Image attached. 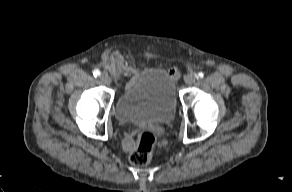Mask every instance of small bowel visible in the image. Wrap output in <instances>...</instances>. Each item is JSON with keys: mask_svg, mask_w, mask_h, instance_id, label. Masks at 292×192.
Masks as SVG:
<instances>
[{"mask_svg": "<svg viewBox=\"0 0 292 192\" xmlns=\"http://www.w3.org/2000/svg\"><path fill=\"white\" fill-rule=\"evenodd\" d=\"M177 75H178L177 69L170 70V76L176 77ZM161 143H162V145L167 146V145H169L170 140H169V138L164 137V138H162ZM151 145H152V147H154V150H153L154 155H156V156L161 155L162 150H161V148H159V145H160L159 140H157V139L152 140ZM124 147L126 149H131L133 147V142L130 139H126V141L124 142Z\"/></svg>", "mask_w": 292, "mask_h": 192, "instance_id": "small-bowel-1", "label": "small bowel"}]
</instances>
